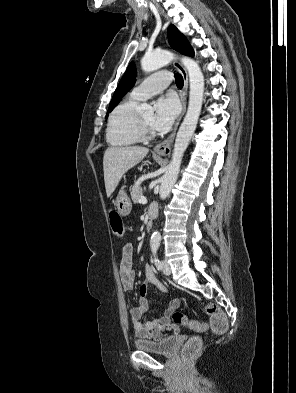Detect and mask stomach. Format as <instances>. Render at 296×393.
<instances>
[{"mask_svg": "<svg viewBox=\"0 0 296 393\" xmlns=\"http://www.w3.org/2000/svg\"><path fill=\"white\" fill-rule=\"evenodd\" d=\"M116 207L118 213L122 216H127L131 212L132 203L123 188L119 191L117 195Z\"/></svg>", "mask_w": 296, "mask_h": 393, "instance_id": "0dacf381", "label": "stomach"}]
</instances>
